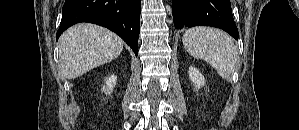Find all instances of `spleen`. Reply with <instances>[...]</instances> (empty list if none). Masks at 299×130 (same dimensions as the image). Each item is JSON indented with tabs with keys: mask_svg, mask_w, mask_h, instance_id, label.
<instances>
[{
	"mask_svg": "<svg viewBox=\"0 0 299 130\" xmlns=\"http://www.w3.org/2000/svg\"><path fill=\"white\" fill-rule=\"evenodd\" d=\"M182 42L191 56L205 60L222 78L231 77L238 50L228 34L217 28L198 26L186 30Z\"/></svg>",
	"mask_w": 299,
	"mask_h": 130,
	"instance_id": "spleen-1",
	"label": "spleen"
}]
</instances>
